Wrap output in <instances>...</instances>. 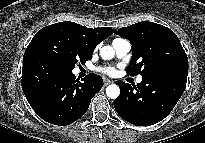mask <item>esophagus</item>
Masks as SVG:
<instances>
[{
	"label": "esophagus",
	"mask_w": 205,
	"mask_h": 143,
	"mask_svg": "<svg viewBox=\"0 0 205 143\" xmlns=\"http://www.w3.org/2000/svg\"><path fill=\"white\" fill-rule=\"evenodd\" d=\"M111 83H112L111 80H109V79H104V85H105V86H107V85H109V84H111Z\"/></svg>",
	"instance_id": "obj_1"
}]
</instances>
